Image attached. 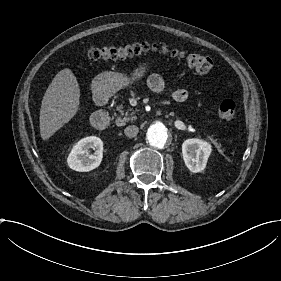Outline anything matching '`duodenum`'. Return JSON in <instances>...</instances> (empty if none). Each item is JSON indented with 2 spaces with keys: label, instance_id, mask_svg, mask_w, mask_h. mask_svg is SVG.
<instances>
[{
  "label": "duodenum",
  "instance_id": "duodenum-1",
  "mask_svg": "<svg viewBox=\"0 0 281 281\" xmlns=\"http://www.w3.org/2000/svg\"><path fill=\"white\" fill-rule=\"evenodd\" d=\"M108 93L105 90H97L94 94V101L99 109L94 112L91 118V122L99 130H105L110 125V116L103 109V106L108 101Z\"/></svg>",
  "mask_w": 281,
  "mask_h": 281
}]
</instances>
